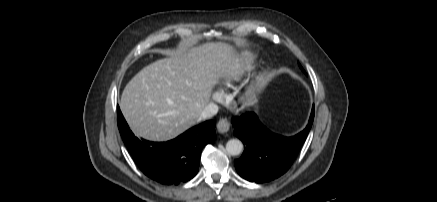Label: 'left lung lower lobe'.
<instances>
[{
    "label": "left lung lower lobe",
    "mask_w": 437,
    "mask_h": 202,
    "mask_svg": "<svg viewBox=\"0 0 437 202\" xmlns=\"http://www.w3.org/2000/svg\"><path fill=\"white\" fill-rule=\"evenodd\" d=\"M314 119V105L306 128L293 137L269 131L255 113L234 117V134L242 140L244 152L234 161L238 174L251 182L264 183L283 175L300 151Z\"/></svg>",
    "instance_id": "1"
}]
</instances>
